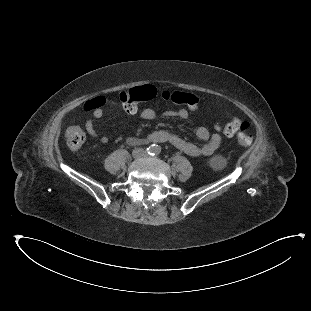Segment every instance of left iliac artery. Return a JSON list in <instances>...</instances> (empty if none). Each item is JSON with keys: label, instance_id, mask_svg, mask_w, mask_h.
<instances>
[{"label": "left iliac artery", "instance_id": "44dca946", "mask_svg": "<svg viewBox=\"0 0 311 311\" xmlns=\"http://www.w3.org/2000/svg\"><path fill=\"white\" fill-rule=\"evenodd\" d=\"M161 153V148L159 146H156L154 149L153 155H159Z\"/></svg>", "mask_w": 311, "mask_h": 311}]
</instances>
